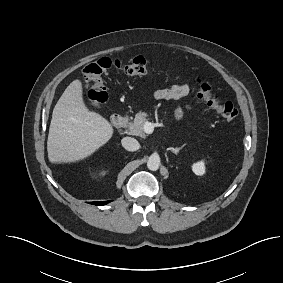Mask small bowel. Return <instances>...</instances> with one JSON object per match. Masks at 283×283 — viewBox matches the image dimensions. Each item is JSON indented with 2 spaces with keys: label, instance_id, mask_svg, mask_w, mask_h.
Here are the masks:
<instances>
[{
  "label": "small bowel",
  "instance_id": "c3829d8e",
  "mask_svg": "<svg viewBox=\"0 0 283 283\" xmlns=\"http://www.w3.org/2000/svg\"><path fill=\"white\" fill-rule=\"evenodd\" d=\"M190 94V88L187 85H173L169 88L158 89L153 92V98L156 100H171L180 99ZM184 109H189V106L185 108L178 107L175 110L174 117L176 120H180L183 116Z\"/></svg>",
  "mask_w": 283,
  "mask_h": 283
}]
</instances>
